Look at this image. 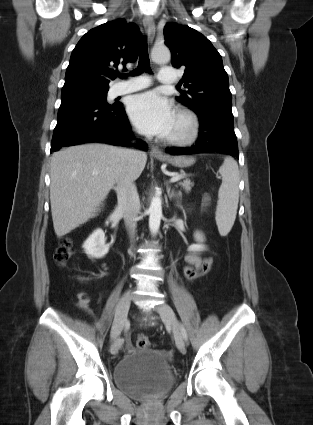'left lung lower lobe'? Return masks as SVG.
<instances>
[{
    "instance_id": "obj_1",
    "label": "left lung lower lobe",
    "mask_w": 313,
    "mask_h": 425,
    "mask_svg": "<svg viewBox=\"0 0 313 425\" xmlns=\"http://www.w3.org/2000/svg\"><path fill=\"white\" fill-rule=\"evenodd\" d=\"M199 116V139L190 148H167L172 155L218 152L239 158L231 110L207 109Z\"/></svg>"
}]
</instances>
